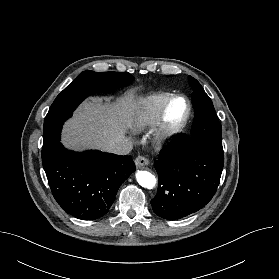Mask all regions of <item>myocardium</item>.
I'll return each instance as SVG.
<instances>
[{"instance_id": "myocardium-1", "label": "myocardium", "mask_w": 279, "mask_h": 279, "mask_svg": "<svg viewBox=\"0 0 279 279\" xmlns=\"http://www.w3.org/2000/svg\"><path fill=\"white\" fill-rule=\"evenodd\" d=\"M177 99H182L186 103V113L182 120L174 125H170L166 120V113L171 103ZM192 106L190 100L181 94L172 95L162 106L158 120L154 125L152 142L155 147L162 148L171 143L187 126L191 116Z\"/></svg>"}]
</instances>
